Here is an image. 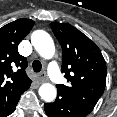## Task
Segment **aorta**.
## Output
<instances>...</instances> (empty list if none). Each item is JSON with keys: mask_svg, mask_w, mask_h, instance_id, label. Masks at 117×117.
<instances>
[{"mask_svg": "<svg viewBox=\"0 0 117 117\" xmlns=\"http://www.w3.org/2000/svg\"><path fill=\"white\" fill-rule=\"evenodd\" d=\"M31 42L39 55L45 59H50L54 56L55 46L51 36L44 30H36L31 35ZM39 95L45 102L55 100L57 90L54 85L44 83L39 88Z\"/></svg>", "mask_w": 117, "mask_h": 117, "instance_id": "762f6f07", "label": "aorta"}]
</instances>
